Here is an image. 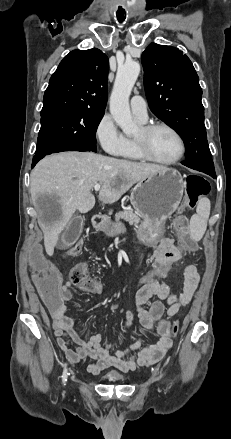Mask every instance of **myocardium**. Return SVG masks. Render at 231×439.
<instances>
[{
  "instance_id": "f54148a6",
  "label": "myocardium",
  "mask_w": 231,
  "mask_h": 439,
  "mask_svg": "<svg viewBox=\"0 0 231 439\" xmlns=\"http://www.w3.org/2000/svg\"><path fill=\"white\" fill-rule=\"evenodd\" d=\"M157 129L168 130L170 133H172L174 135V137L178 141L179 152L171 160L164 161V160L156 159L151 155V153L148 150V147H147L146 141H145V137ZM141 131H142L143 136L141 138H134L133 141H134V145L136 147V150L139 153V155L142 157V159H144L148 162L158 164V165L170 166V165L176 164L177 162H179L183 158V156L185 154V149H186L185 141H184L183 137L181 136V134L171 125H169L167 123H163V122L150 123V124L144 125L141 128Z\"/></svg>"
}]
</instances>
